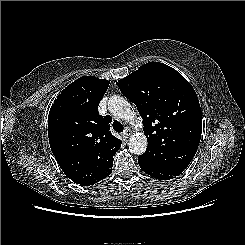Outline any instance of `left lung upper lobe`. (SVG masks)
<instances>
[{"instance_id":"1","label":"left lung upper lobe","mask_w":245,"mask_h":245,"mask_svg":"<svg viewBox=\"0 0 245 245\" xmlns=\"http://www.w3.org/2000/svg\"><path fill=\"white\" fill-rule=\"evenodd\" d=\"M143 119L146 152L139 166L178 176L193 159L202 132L198 97L191 84L175 69L149 62L116 82Z\"/></svg>"}]
</instances>
